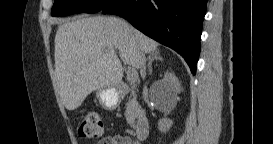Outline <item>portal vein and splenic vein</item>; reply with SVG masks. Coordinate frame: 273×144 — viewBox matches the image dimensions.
Masks as SVG:
<instances>
[{
    "mask_svg": "<svg viewBox=\"0 0 273 144\" xmlns=\"http://www.w3.org/2000/svg\"><path fill=\"white\" fill-rule=\"evenodd\" d=\"M127 78L130 83H135L137 81L138 75L134 69H128Z\"/></svg>",
    "mask_w": 273,
    "mask_h": 144,
    "instance_id": "obj_1",
    "label": "portal vein and splenic vein"
}]
</instances>
